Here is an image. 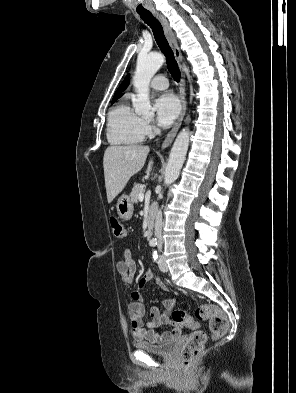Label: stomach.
<instances>
[{
  "mask_svg": "<svg viewBox=\"0 0 296 393\" xmlns=\"http://www.w3.org/2000/svg\"><path fill=\"white\" fill-rule=\"evenodd\" d=\"M116 209L120 219L124 221L130 220L133 215L134 207L129 196L122 195L119 197L116 204Z\"/></svg>",
  "mask_w": 296,
  "mask_h": 393,
  "instance_id": "stomach-1",
  "label": "stomach"
}]
</instances>
